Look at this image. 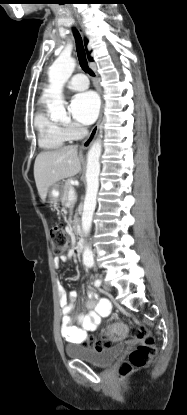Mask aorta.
Returning a JSON list of instances; mask_svg holds the SVG:
<instances>
[{
  "label": "aorta",
  "instance_id": "obj_1",
  "mask_svg": "<svg viewBox=\"0 0 187 415\" xmlns=\"http://www.w3.org/2000/svg\"><path fill=\"white\" fill-rule=\"evenodd\" d=\"M75 60L72 57L60 55L50 66L48 71L50 100L47 103L48 111L52 118H65L67 113L64 107L62 89L64 84L71 77L75 69ZM102 145L100 140H96L87 154L86 169V195L82 213V230L85 236L90 233L93 213L96 208V198L99 189L100 156ZM83 262L86 265L94 263L93 254L89 247L83 253Z\"/></svg>",
  "mask_w": 187,
  "mask_h": 415
}]
</instances>
